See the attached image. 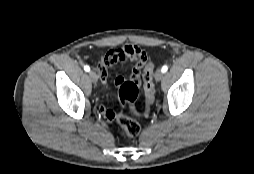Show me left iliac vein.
Here are the masks:
<instances>
[{"label": "left iliac vein", "instance_id": "obj_1", "mask_svg": "<svg viewBox=\"0 0 254 174\" xmlns=\"http://www.w3.org/2000/svg\"><path fill=\"white\" fill-rule=\"evenodd\" d=\"M163 76H164V74L160 69L156 70V72L154 74V78L156 81L162 80Z\"/></svg>", "mask_w": 254, "mask_h": 174}]
</instances>
